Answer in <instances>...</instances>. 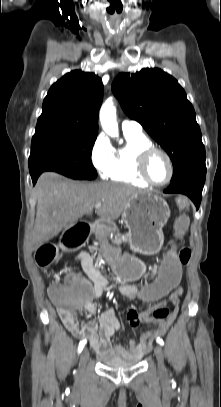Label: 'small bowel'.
Wrapping results in <instances>:
<instances>
[{"instance_id":"c3829d8e","label":"small bowel","mask_w":221,"mask_h":407,"mask_svg":"<svg viewBox=\"0 0 221 407\" xmlns=\"http://www.w3.org/2000/svg\"><path fill=\"white\" fill-rule=\"evenodd\" d=\"M74 262L79 263L82 266L84 273L91 282V286L88 289L85 287L81 288V303L86 314L94 316L96 314V306L92 303L91 299L101 297L103 293L110 288V283L96 269L92 257L87 252H80L75 257ZM158 271L159 266L153 265L149 275L144 278L142 286H137L130 282H122L117 287V291L128 299H137L139 298V293L141 291H146V283H150L152 277H157ZM71 275L72 274L69 276ZM164 293L165 296H169V300L173 305L172 310H167V314L164 317L156 319L154 329L144 333L138 344L131 340L128 347L120 345L113 346L111 343V337L120 327L112 308H108L102 312L98 321L89 320L85 323H82L74 313L59 312V314L66 328L76 338L88 340L90 347L99 355L107 358H122L126 360L140 359L150 350L152 340L157 336L163 335L178 314L182 288L176 286L175 292ZM167 304L168 299L166 297H161L159 301L155 303L154 307L151 305H136L135 308L129 310L128 321L132 326L145 325L147 322L145 316L147 314H151L158 306H163L165 309Z\"/></svg>"}]
</instances>
